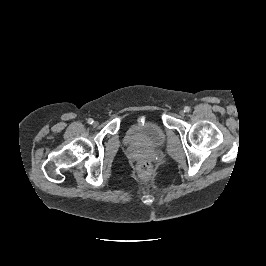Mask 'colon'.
Returning <instances> with one entry per match:
<instances>
[{"instance_id":"obj_1","label":"colon","mask_w":266,"mask_h":266,"mask_svg":"<svg viewBox=\"0 0 266 266\" xmlns=\"http://www.w3.org/2000/svg\"><path fill=\"white\" fill-rule=\"evenodd\" d=\"M137 170L141 177L147 178L151 174L152 166L148 161L142 160L138 163Z\"/></svg>"}]
</instances>
